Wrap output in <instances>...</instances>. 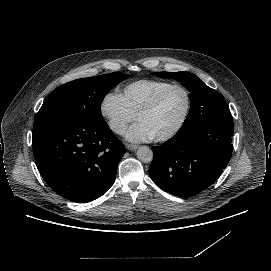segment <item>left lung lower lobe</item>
I'll return each instance as SVG.
<instances>
[{"label":"left lung lower lobe","mask_w":271,"mask_h":271,"mask_svg":"<svg viewBox=\"0 0 271 271\" xmlns=\"http://www.w3.org/2000/svg\"><path fill=\"white\" fill-rule=\"evenodd\" d=\"M233 119H209L178 132L153 147L149 174L162 190L193 196L213 184L232 155Z\"/></svg>","instance_id":"0a47b994"}]
</instances>
